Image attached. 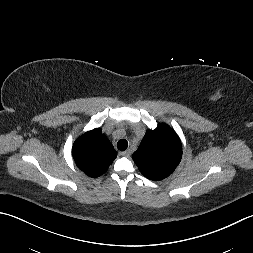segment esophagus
Wrapping results in <instances>:
<instances>
[{"label": "esophagus", "mask_w": 253, "mask_h": 253, "mask_svg": "<svg viewBox=\"0 0 253 253\" xmlns=\"http://www.w3.org/2000/svg\"><path fill=\"white\" fill-rule=\"evenodd\" d=\"M130 154H131L130 150H126V151L120 152V155L124 156V157H129Z\"/></svg>", "instance_id": "esophagus-1"}]
</instances>
